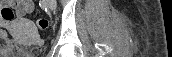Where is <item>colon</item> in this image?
<instances>
[{
  "label": "colon",
  "mask_w": 172,
  "mask_h": 57,
  "mask_svg": "<svg viewBox=\"0 0 172 57\" xmlns=\"http://www.w3.org/2000/svg\"><path fill=\"white\" fill-rule=\"evenodd\" d=\"M0 17L4 22H11L15 18V12L11 7L5 6L0 8ZM36 25L39 29L44 30L48 26V21L45 18H39L36 21Z\"/></svg>",
  "instance_id": "1"
}]
</instances>
